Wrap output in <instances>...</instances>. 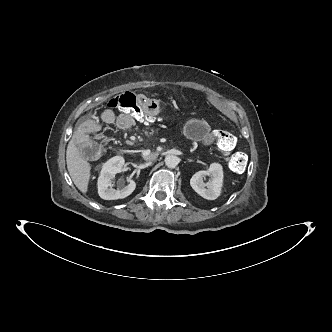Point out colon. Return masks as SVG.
Listing matches in <instances>:
<instances>
[{
  "instance_id": "5ec220e1",
  "label": "colon",
  "mask_w": 332,
  "mask_h": 332,
  "mask_svg": "<svg viewBox=\"0 0 332 332\" xmlns=\"http://www.w3.org/2000/svg\"><path fill=\"white\" fill-rule=\"evenodd\" d=\"M136 100L137 97L134 94L126 92L112 98L107 106L111 112L116 110L128 114L130 117H136L138 122L145 126H150L154 121L158 120L159 116L145 112L139 107ZM213 138L219 148L226 152L230 170L235 173L242 172L245 169L247 157L242 152H232L236 145V137L228 131L219 130L213 134ZM77 145L83 155L89 159L102 155V149L97 142L88 139H78Z\"/></svg>"
}]
</instances>
